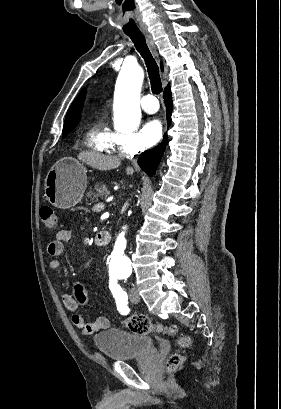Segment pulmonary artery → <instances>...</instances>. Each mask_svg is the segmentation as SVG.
I'll return each instance as SVG.
<instances>
[{
	"label": "pulmonary artery",
	"mask_w": 281,
	"mask_h": 409,
	"mask_svg": "<svg viewBox=\"0 0 281 409\" xmlns=\"http://www.w3.org/2000/svg\"><path fill=\"white\" fill-rule=\"evenodd\" d=\"M156 95L155 94H144L141 98V106L147 112L157 111Z\"/></svg>",
	"instance_id": "obj_1"
}]
</instances>
